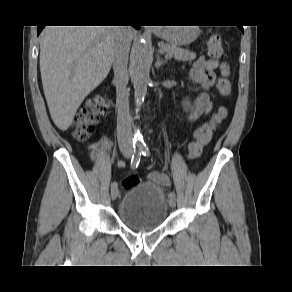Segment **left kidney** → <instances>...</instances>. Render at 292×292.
<instances>
[{"label": "left kidney", "instance_id": "obj_1", "mask_svg": "<svg viewBox=\"0 0 292 292\" xmlns=\"http://www.w3.org/2000/svg\"><path fill=\"white\" fill-rule=\"evenodd\" d=\"M188 105H189V101L187 99H185L183 101V106L185 107V109L188 107Z\"/></svg>", "mask_w": 292, "mask_h": 292}]
</instances>
